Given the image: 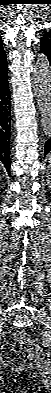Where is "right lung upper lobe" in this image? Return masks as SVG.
Returning a JSON list of instances; mask_svg holds the SVG:
<instances>
[{"instance_id": "right-lung-upper-lobe-1", "label": "right lung upper lobe", "mask_w": 51, "mask_h": 393, "mask_svg": "<svg viewBox=\"0 0 51 393\" xmlns=\"http://www.w3.org/2000/svg\"><path fill=\"white\" fill-rule=\"evenodd\" d=\"M8 69L6 54L3 49V41L0 38V73Z\"/></svg>"}]
</instances>
